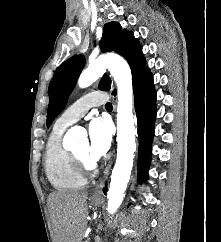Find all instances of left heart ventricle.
Instances as JSON below:
<instances>
[{"instance_id": "left-heart-ventricle-1", "label": "left heart ventricle", "mask_w": 221, "mask_h": 242, "mask_svg": "<svg viewBox=\"0 0 221 242\" xmlns=\"http://www.w3.org/2000/svg\"><path fill=\"white\" fill-rule=\"evenodd\" d=\"M88 147H89V145L87 144V142H84V143L80 144V145L75 149L74 152H75L79 157H81V158H83V159H85V160H90V159H89V156H88Z\"/></svg>"}]
</instances>
